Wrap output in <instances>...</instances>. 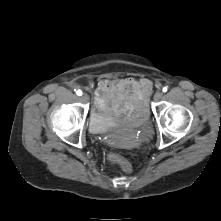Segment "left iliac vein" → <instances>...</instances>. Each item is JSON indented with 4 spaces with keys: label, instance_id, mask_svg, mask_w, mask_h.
I'll return each mask as SVG.
<instances>
[{
    "label": "left iliac vein",
    "instance_id": "obj_1",
    "mask_svg": "<svg viewBox=\"0 0 221 221\" xmlns=\"http://www.w3.org/2000/svg\"><path fill=\"white\" fill-rule=\"evenodd\" d=\"M163 96V92L162 91H157L154 95V100L155 101H159Z\"/></svg>",
    "mask_w": 221,
    "mask_h": 221
}]
</instances>
